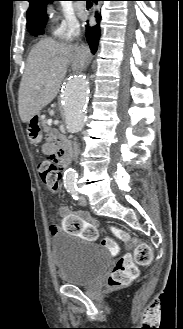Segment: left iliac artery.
Returning <instances> with one entry per match:
<instances>
[{
  "instance_id": "left-iliac-artery-1",
  "label": "left iliac artery",
  "mask_w": 183,
  "mask_h": 329,
  "mask_svg": "<svg viewBox=\"0 0 183 329\" xmlns=\"http://www.w3.org/2000/svg\"><path fill=\"white\" fill-rule=\"evenodd\" d=\"M68 192L71 193L74 200H78V190H77V188L76 189L73 188V189L69 190Z\"/></svg>"
}]
</instances>
